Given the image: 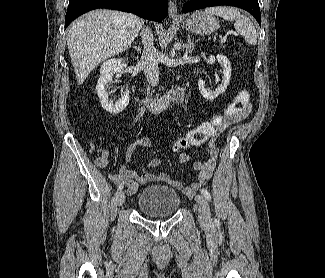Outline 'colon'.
<instances>
[{
    "mask_svg": "<svg viewBox=\"0 0 325 278\" xmlns=\"http://www.w3.org/2000/svg\"><path fill=\"white\" fill-rule=\"evenodd\" d=\"M248 108V94L243 91L222 113L216 114L211 119L193 128V133L190 136L178 138L173 146L174 151H179L206 142L226 121L235 118L239 113Z\"/></svg>",
    "mask_w": 325,
    "mask_h": 278,
    "instance_id": "colon-1",
    "label": "colon"
}]
</instances>
